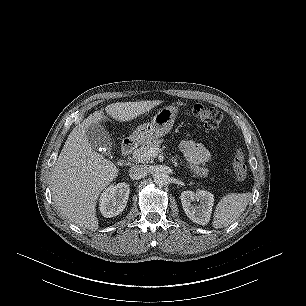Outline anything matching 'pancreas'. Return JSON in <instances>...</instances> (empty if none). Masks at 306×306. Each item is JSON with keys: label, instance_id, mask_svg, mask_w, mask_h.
Wrapping results in <instances>:
<instances>
[{"label": "pancreas", "instance_id": "cf45deb5", "mask_svg": "<svg viewBox=\"0 0 306 306\" xmlns=\"http://www.w3.org/2000/svg\"><path fill=\"white\" fill-rule=\"evenodd\" d=\"M161 142L162 140L156 139L153 142L147 143L146 145L139 147L138 149L134 151L133 158L135 159L137 163H143V164L151 163L153 161L152 157L149 158L146 156V154L151 148H154V147L158 148Z\"/></svg>", "mask_w": 306, "mask_h": 306}]
</instances>
